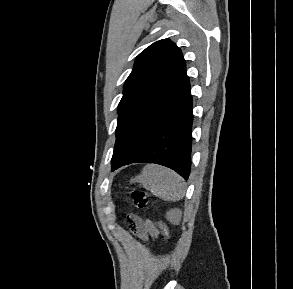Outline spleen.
Instances as JSON below:
<instances>
[{"mask_svg":"<svg viewBox=\"0 0 293 289\" xmlns=\"http://www.w3.org/2000/svg\"><path fill=\"white\" fill-rule=\"evenodd\" d=\"M165 201H178L185 195V183L174 171L158 165H147L142 173L131 179Z\"/></svg>","mask_w":293,"mask_h":289,"instance_id":"1","label":"spleen"}]
</instances>
